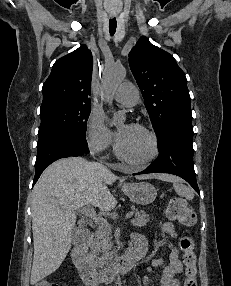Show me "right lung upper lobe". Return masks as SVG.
I'll return each mask as SVG.
<instances>
[{"label": "right lung upper lobe", "mask_w": 231, "mask_h": 286, "mask_svg": "<svg viewBox=\"0 0 231 286\" xmlns=\"http://www.w3.org/2000/svg\"><path fill=\"white\" fill-rule=\"evenodd\" d=\"M92 68V54L85 45L58 59L43 85L42 106L57 102L90 104Z\"/></svg>", "instance_id": "cb5924a9"}]
</instances>
